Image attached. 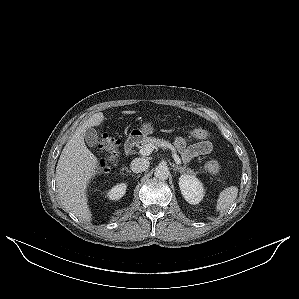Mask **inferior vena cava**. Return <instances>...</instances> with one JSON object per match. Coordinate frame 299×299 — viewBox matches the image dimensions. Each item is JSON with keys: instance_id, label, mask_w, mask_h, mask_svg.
<instances>
[{"instance_id": "602c4592", "label": "inferior vena cava", "mask_w": 299, "mask_h": 299, "mask_svg": "<svg viewBox=\"0 0 299 299\" xmlns=\"http://www.w3.org/2000/svg\"><path fill=\"white\" fill-rule=\"evenodd\" d=\"M149 167V161L145 158H135L131 162V169L135 173H140L147 170Z\"/></svg>"}]
</instances>
